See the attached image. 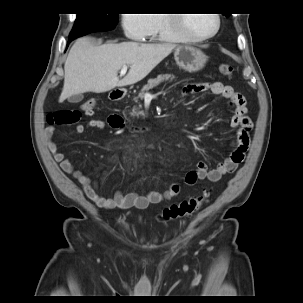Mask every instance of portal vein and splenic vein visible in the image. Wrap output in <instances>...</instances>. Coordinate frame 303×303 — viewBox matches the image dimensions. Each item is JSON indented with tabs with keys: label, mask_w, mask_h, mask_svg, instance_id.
Wrapping results in <instances>:
<instances>
[{
	"label": "portal vein and splenic vein",
	"mask_w": 303,
	"mask_h": 303,
	"mask_svg": "<svg viewBox=\"0 0 303 303\" xmlns=\"http://www.w3.org/2000/svg\"><path fill=\"white\" fill-rule=\"evenodd\" d=\"M127 68H128L127 65H124L122 67L121 72H120L121 76L125 75V73L127 72ZM143 97H144L145 100L146 99H152V94L151 93H145Z\"/></svg>",
	"instance_id": "portal-vein-and-splenic-vein-1"
}]
</instances>
